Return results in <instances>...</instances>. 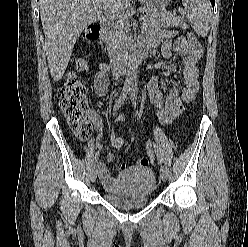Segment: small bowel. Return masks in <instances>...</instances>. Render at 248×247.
<instances>
[{"instance_id": "obj_1", "label": "small bowel", "mask_w": 248, "mask_h": 247, "mask_svg": "<svg viewBox=\"0 0 248 247\" xmlns=\"http://www.w3.org/2000/svg\"><path fill=\"white\" fill-rule=\"evenodd\" d=\"M173 31L161 30L154 32L145 37L141 41L142 49L147 53H154L155 47L159 45L160 53L163 58L168 59L172 56V49L184 58L180 68L172 66L163 72H154L151 74L147 84V91L152 104L156 108L163 106L164 97L161 90L162 81L170 76H178L182 84L181 88H172L166 98L165 108L167 109L169 122L174 121L177 116L184 110L185 104L192 101L199 90V67L198 62L203 55L201 45L196 42H191L185 37H177L172 41ZM110 68L107 64H102L99 71L94 77V89L98 96H105L108 91L109 78L108 72ZM95 129L100 132L103 129L102 120L99 115L93 113L91 115ZM123 117L119 116L118 120ZM110 143L112 146L121 148L125 144V140L114 131L110 135ZM114 160L112 154L107 155V162L110 164ZM138 167H147L149 161L147 158H140L136 161ZM129 167L126 164L119 166L120 174L126 171ZM99 179L102 185L108 189H117L118 177H113L103 162L98 163ZM119 174V175H120Z\"/></svg>"}]
</instances>
